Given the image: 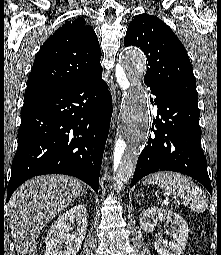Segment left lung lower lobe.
<instances>
[{
	"label": "left lung lower lobe",
	"mask_w": 221,
	"mask_h": 255,
	"mask_svg": "<svg viewBox=\"0 0 221 255\" xmlns=\"http://www.w3.org/2000/svg\"><path fill=\"white\" fill-rule=\"evenodd\" d=\"M151 93L156 95L158 116L152 125L153 134L138 158L131 187L150 173L170 170L193 177L212 194L206 158L200 144L197 104L154 89Z\"/></svg>",
	"instance_id": "left-lung-lower-lobe-1"
}]
</instances>
